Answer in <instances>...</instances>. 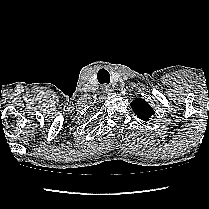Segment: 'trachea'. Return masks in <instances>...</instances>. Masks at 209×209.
Here are the masks:
<instances>
[{
  "instance_id": "3493384b",
  "label": "trachea",
  "mask_w": 209,
  "mask_h": 209,
  "mask_svg": "<svg viewBox=\"0 0 209 209\" xmlns=\"http://www.w3.org/2000/svg\"><path fill=\"white\" fill-rule=\"evenodd\" d=\"M97 79L100 84H109L110 74L108 71L101 69L97 74Z\"/></svg>"
}]
</instances>
